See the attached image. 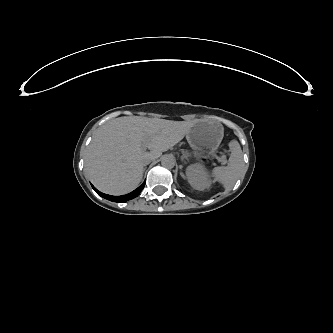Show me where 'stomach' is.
I'll return each mask as SVG.
<instances>
[{"mask_svg": "<svg viewBox=\"0 0 333 333\" xmlns=\"http://www.w3.org/2000/svg\"><path fill=\"white\" fill-rule=\"evenodd\" d=\"M187 140L192 145H196L197 144V142H196V140L194 139L193 136L187 137Z\"/></svg>", "mask_w": 333, "mask_h": 333, "instance_id": "1", "label": "stomach"}]
</instances>
